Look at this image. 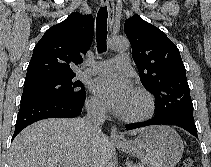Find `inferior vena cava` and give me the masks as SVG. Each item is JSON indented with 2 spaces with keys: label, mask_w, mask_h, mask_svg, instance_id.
I'll use <instances>...</instances> for the list:
<instances>
[{
  "label": "inferior vena cava",
  "mask_w": 211,
  "mask_h": 167,
  "mask_svg": "<svg viewBox=\"0 0 211 167\" xmlns=\"http://www.w3.org/2000/svg\"><path fill=\"white\" fill-rule=\"evenodd\" d=\"M105 117L106 110L102 105L94 103L87 106V115L83 120V127L93 140L100 138L102 134L101 125L104 123ZM84 166L94 167V164L89 162Z\"/></svg>",
  "instance_id": "602c4592"
}]
</instances>
